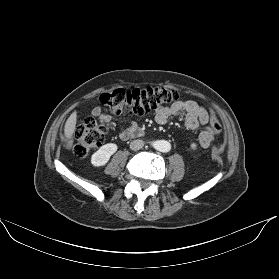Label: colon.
<instances>
[{"label":"colon","instance_id":"colon-1","mask_svg":"<svg viewBox=\"0 0 279 279\" xmlns=\"http://www.w3.org/2000/svg\"><path fill=\"white\" fill-rule=\"evenodd\" d=\"M178 94L164 87L144 89H116L101 95L100 101L115 117L121 115L143 116L158 106L177 101ZM112 123L97 122L93 117H86L76 128L74 154L79 158L86 157L92 150L101 147ZM221 130L218 118L212 114L209 131L217 134Z\"/></svg>","mask_w":279,"mask_h":279}]
</instances>
